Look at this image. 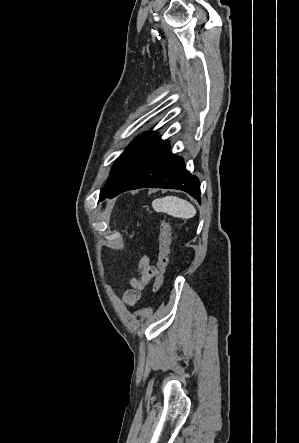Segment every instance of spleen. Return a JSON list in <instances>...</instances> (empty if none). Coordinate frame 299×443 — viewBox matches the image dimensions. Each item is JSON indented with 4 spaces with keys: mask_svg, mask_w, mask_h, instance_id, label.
<instances>
[{
    "mask_svg": "<svg viewBox=\"0 0 299 443\" xmlns=\"http://www.w3.org/2000/svg\"><path fill=\"white\" fill-rule=\"evenodd\" d=\"M152 207L156 212L167 213L177 218L189 219L196 215L195 207L182 198L166 196L153 200Z\"/></svg>",
    "mask_w": 299,
    "mask_h": 443,
    "instance_id": "1",
    "label": "spleen"
}]
</instances>
